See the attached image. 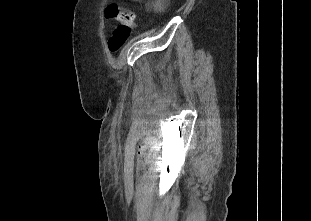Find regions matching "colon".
I'll return each mask as SVG.
<instances>
[{
  "instance_id": "colon-1",
  "label": "colon",
  "mask_w": 311,
  "mask_h": 221,
  "mask_svg": "<svg viewBox=\"0 0 311 221\" xmlns=\"http://www.w3.org/2000/svg\"><path fill=\"white\" fill-rule=\"evenodd\" d=\"M105 16L109 17L110 20L120 19V21H129L130 18H136L134 12L123 11L119 2H113V0H110V2L107 3V10L105 11ZM132 29V26H118L117 29L113 30L112 34L108 39V50L111 53L118 52L128 41Z\"/></svg>"
}]
</instances>
